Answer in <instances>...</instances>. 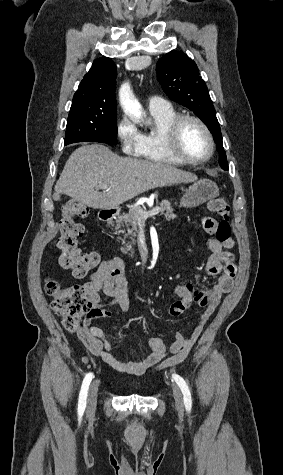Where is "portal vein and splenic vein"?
Masks as SVG:
<instances>
[{
    "label": "portal vein and splenic vein",
    "instance_id": "1",
    "mask_svg": "<svg viewBox=\"0 0 283 475\" xmlns=\"http://www.w3.org/2000/svg\"><path fill=\"white\" fill-rule=\"evenodd\" d=\"M100 188H102V190H109L110 186H108V184H101ZM159 212L160 208H153L151 212H142V216L143 218H149V216H155V214H159Z\"/></svg>",
    "mask_w": 283,
    "mask_h": 475
}]
</instances>
